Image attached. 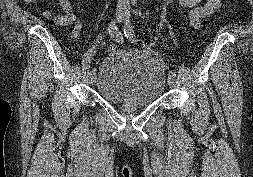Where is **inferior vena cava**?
Wrapping results in <instances>:
<instances>
[{
    "instance_id": "602c4592",
    "label": "inferior vena cava",
    "mask_w": 253,
    "mask_h": 177,
    "mask_svg": "<svg viewBox=\"0 0 253 177\" xmlns=\"http://www.w3.org/2000/svg\"><path fill=\"white\" fill-rule=\"evenodd\" d=\"M129 2H130V0H118V5L123 6V7H127V6H129Z\"/></svg>"
}]
</instances>
